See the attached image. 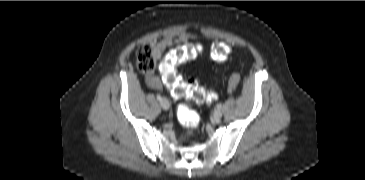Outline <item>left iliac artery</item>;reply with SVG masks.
<instances>
[{
  "label": "left iliac artery",
  "mask_w": 365,
  "mask_h": 180,
  "mask_svg": "<svg viewBox=\"0 0 365 180\" xmlns=\"http://www.w3.org/2000/svg\"><path fill=\"white\" fill-rule=\"evenodd\" d=\"M222 108V105L221 104H218L217 105V109H221Z\"/></svg>",
  "instance_id": "44dca946"
}]
</instances>
